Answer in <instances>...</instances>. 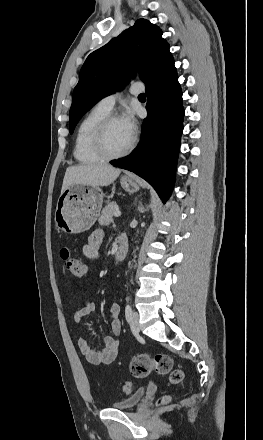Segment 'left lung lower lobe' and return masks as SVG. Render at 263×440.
Wrapping results in <instances>:
<instances>
[{
	"instance_id": "1",
	"label": "left lung lower lobe",
	"mask_w": 263,
	"mask_h": 440,
	"mask_svg": "<svg viewBox=\"0 0 263 440\" xmlns=\"http://www.w3.org/2000/svg\"><path fill=\"white\" fill-rule=\"evenodd\" d=\"M145 86L148 116L141 141L129 156L111 164L148 181L165 203L174 185L184 117L174 61L158 69Z\"/></svg>"
}]
</instances>
